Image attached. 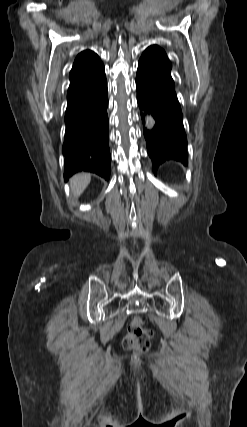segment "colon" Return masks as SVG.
I'll list each match as a JSON object with an SVG mask.
<instances>
[{
  "instance_id": "obj_1",
  "label": "colon",
  "mask_w": 247,
  "mask_h": 427,
  "mask_svg": "<svg viewBox=\"0 0 247 427\" xmlns=\"http://www.w3.org/2000/svg\"><path fill=\"white\" fill-rule=\"evenodd\" d=\"M145 334L148 337L152 336V332L145 329L143 321L140 318H135L129 326L128 333L122 341L125 349H135L145 352L149 349L150 343L148 339L141 338Z\"/></svg>"
}]
</instances>
